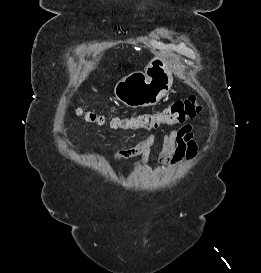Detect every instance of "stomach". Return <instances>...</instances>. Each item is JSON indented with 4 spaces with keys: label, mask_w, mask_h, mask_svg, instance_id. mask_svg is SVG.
I'll return each instance as SVG.
<instances>
[{
    "label": "stomach",
    "mask_w": 261,
    "mask_h": 273,
    "mask_svg": "<svg viewBox=\"0 0 261 273\" xmlns=\"http://www.w3.org/2000/svg\"><path fill=\"white\" fill-rule=\"evenodd\" d=\"M173 84L171 62L163 55L154 57L144 72L136 71L121 79L114 88L116 98L131 108L157 104Z\"/></svg>",
    "instance_id": "1"
}]
</instances>
